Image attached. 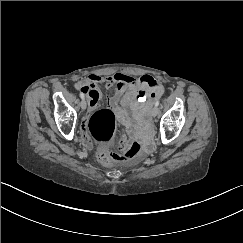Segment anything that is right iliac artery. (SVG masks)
Wrapping results in <instances>:
<instances>
[{"label": "right iliac artery", "instance_id": "right-iliac-artery-1", "mask_svg": "<svg viewBox=\"0 0 243 243\" xmlns=\"http://www.w3.org/2000/svg\"><path fill=\"white\" fill-rule=\"evenodd\" d=\"M80 97L83 100L84 99V94L83 93H80Z\"/></svg>", "mask_w": 243, "mask_h": 243}]
</instances>
